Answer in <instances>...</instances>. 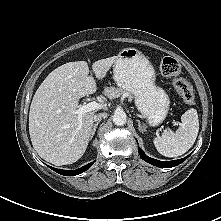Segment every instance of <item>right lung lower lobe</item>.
Here are the masks:
<instances>
[{
	"instance_id": "obj_1",
	"label": "right lung lower lobe",
	"mask_w": 221,
	"mask_h": 221,
	"mask_svg": "<svg viewBox=\"0 0 221 221\" xmlns=\"http://www.w3.org/2000/svg\"><path fill=\"white\" fill-rule=\"evenodd\" d=\"M94 161L77 169V170H73V171H67V170H62V169H56V168H53V167H50L52 170H54L55 172L61 174V175H64V176H75V175H78L84 171H86L88 168H90L92 165H93Z\"/></svg>"
}]
</instances>
